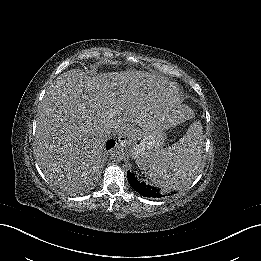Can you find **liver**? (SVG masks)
Returning a JSON list of instances; mask_svg holds the SVG:
<instances>
[{
	"mask_svg": "<svg viewBox=\"0 0 261 261\" xmlns=\"http://www.w3.org/2000/svg\"><path fill=\"white\" fill-rule=\"evenodd\" d=\"M110 73L71 70L45 94L37 118L36 158L55 183L85 179L102 155L107 128L130 122L146 126L165 116L163 99L145 104Z\"/></svg>",
	"mask_w": 261,
	"mask_h": 261,
	"instance_id": "obj_1",
	"label": "liver"
}]
</instances>
